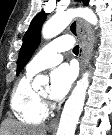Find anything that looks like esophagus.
Returning <instances> with one entry per match:
<instances>
[{
	"label": "esophagus",
	"instance_id": "obj_1",
	"mask_svg": "<svg viewBox=\"0 0 112 135\" xmlns=\"http://www.w3.org/2000/svg\"><path fill=\"white\" fill-rule=\"evenodd\" d=\"M71 32H75L80 42V66L83 72L89 62L93 46V34L90 27L81 19H76L70 24ZM58 125V116L54 118L49 128L56 129Z\"/></svg>",
	"mask_w": 112,
	"mask_h": 135
}]
</instances>
